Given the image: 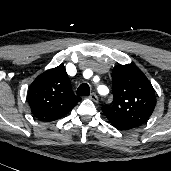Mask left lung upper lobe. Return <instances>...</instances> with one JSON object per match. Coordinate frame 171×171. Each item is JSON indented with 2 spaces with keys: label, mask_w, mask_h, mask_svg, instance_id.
<instances>
[{
  "label": "left lung upper lobe",
  "mask_w": 171,
  "mask_h": 171,
  "mask_svg": "<svg viewBox=\"0 0 171 171\" xmlns=\"http://www.w3.org/2000/svg\"><path fill=\"white\" fill-rule=\"evenodd\" d=\"M113 102L102 111L119 130H130L147 122L155 105V91L136 66L118 65L112 71Z\"/></svg>",
  "instance_id": "left-lung-upper-lobe-1"
}]
</instances>
